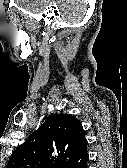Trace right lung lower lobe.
Segmentation results:
<instances>
[{
	"instance_id": "obj_1",
	"label": "right lung lower lobe",
	"mask_w": 127,
	"mask_h": 168,
	"mask_svg": "<svg viewBox=\"0 0 127 168\" xmlns=\"http://www.w3.org/2000/svg\"><path fill=\"white\" fill-rule=\"evenodd\" d=\"M87 161H88V157L82 163L76 166V168H86Z\"/></svg>"
}]
</instances>
